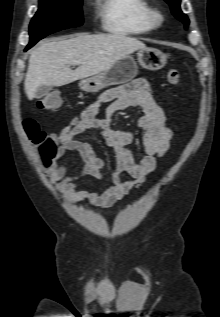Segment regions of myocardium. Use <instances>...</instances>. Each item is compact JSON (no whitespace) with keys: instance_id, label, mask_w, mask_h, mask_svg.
<instances>
[{"instance_id":"1","label":"myocardium","mask_w":220,"mask_h":317,"mask_svg":"<svg viewBox=\"0 0 220 317\" xmlns=\"http://www.w3.org/2000/svg\"><path fill=\"white\" fill-rule=\"evenodd\" d=\"M150 17L153 26H160L164 21V16L162 12L158 9H152Z\"/></svg>"}]
</instances>
